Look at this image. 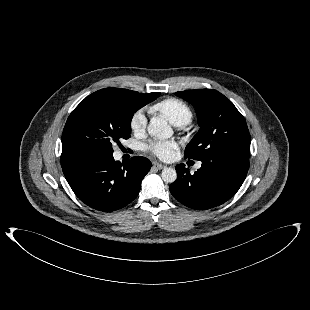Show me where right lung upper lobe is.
Masks as SVG:
<instances>
[{
  "mask_svg": "<svg viewBox=\"0 0 310 310\" xmlns=\"http://www.w3.org/2000/svg\"><path fill=\"white\" fill-rule=\"evenodd\" d=\"M101 90H105L113 94L126 97L129 99H133V100H143L145 98L150 97L152 94H154V93L141 94L136 91H131L127 89H119V88H106V89H101Z\"/></svg>",
  "mask_w": 310,
  "mask_h": 310,
  "instance_id": "right-lung-upper-lobe-1",
  "label": "right lung upper lobe"
}]
</instances>
